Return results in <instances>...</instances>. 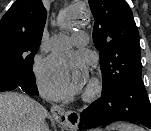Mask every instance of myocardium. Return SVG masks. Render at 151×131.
Wrapping results in <instances>:
<instances>
[{"label":"myocardium","instance_id":"1","mask_svg":"<svg viewBox=\"0 0 151 131\" xmlns=\"http://www.w3.org/2000/svg\"><path fill=\"white\" fill-rule=\"evenodd\" d=\"M101 89H102V85L99 79L93 78L86 88L84 94L85 99L89 100L96 97L101 92Z\"/></svg>","mask_w":151,"mask_h":131}]
</instances>
